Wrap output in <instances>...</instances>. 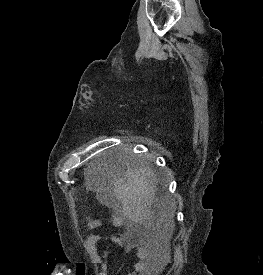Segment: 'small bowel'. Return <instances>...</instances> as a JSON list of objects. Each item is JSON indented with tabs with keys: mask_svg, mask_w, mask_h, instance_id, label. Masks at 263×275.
Wrapping results in <instances>:
<instances>
[{
	"mask_svg": "<svg viewBox=\"0 0 263 275\" xmlns=\"http://www.w3.org/2000/svg\"><path fill=\"white\" fill-rule=\"evenodd\" d=\"M100 225H101L100 221L92 220L88 223L87 227L89 229H95V228H98ZM102 239H103V236L101 235H92L87 240L88 251L95 263H102V258L98 254V249H97V243ZM124 242L128 246L132 245L131 242L126 238L124 239ZM135 248H136V255L138 260L134 265L133 272L129 273L128 275H155V273L158 271V268H156L152 264L147 248L140 243L136 244ZM99 275H106V273L101 272L99 273Z\"/></svg>",
	"mask_w": 263,
	"mask_h": 275,
	"instance_id": "small-bowel-1",
	"label": "small bowel"
}]
</instances>
